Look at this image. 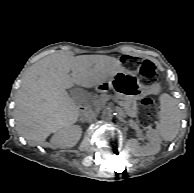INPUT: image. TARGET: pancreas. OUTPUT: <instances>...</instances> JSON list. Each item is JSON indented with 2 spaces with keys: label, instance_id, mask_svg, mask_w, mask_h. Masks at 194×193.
Instances as JSON below:
<instances>
[{
  "label": "pancreas",
  "instance_id": "cf45deb5",
  "mask_svg": "<svg viewBox=\"0 0 194 193\" xmlns=\"http://www.w3.org/2000/svg\"><path fill=\"white\" fill-rule=\"evenodd\" d=\"M110 101L112 103H117L120 104L122 107H124L126 113L131 116V117H136L137 116V104L135 101L131 99H125L121 97H117L115 95H112L110 98Z\"/></svg>",
  "mask_w": 194,
  "mask_h": 193
}]
</instances>
